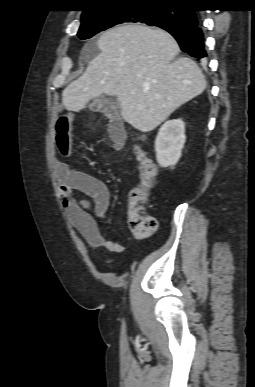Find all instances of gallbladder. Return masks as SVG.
<instances>
[{
  "label": "gallbladder",
  "mask_w": 255,
  "mask_h": 387,
  "mask_svg": "<svg viewBox=\"0 0 255 387\" xmlns=\"http://www.w3.org/2000/svg\"><path fill=\"white\" fill-rule=\"evenodd\" d=\"M113 106L119 107L118 99L115 96L106 97L102 95L94 99L91 104V109L106 112L109 108Z\"/></svg>",
  "instance_id": "1"
}]
</instances>
